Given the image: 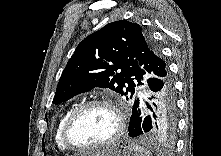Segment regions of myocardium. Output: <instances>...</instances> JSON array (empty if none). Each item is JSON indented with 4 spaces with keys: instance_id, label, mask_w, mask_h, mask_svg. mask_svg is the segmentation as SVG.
Masks as SVG:
<instances>
[{
    "instance_id": "myocardium-1",
    "label": "myocardium",
    "mask_w": 221,
    "mask_h": 156,
    "mask_svg": "<svg viewBox=\"0 0 221 156\" xmlns=\"http://www.w3.org/2000/svg\"><path fill=\"white\" fill-rule=\"evenodd\" d=\"M97 106L106 107L113 112L115 116V120H116V127H115L114 132L108 139H106L105 141L99 144L84 146V145H78L74 143L70 137V131L74 122L83 112H85L91 107H97ZM124 128H125L124 115L120 107L114 101L110 99H106V98L92 99V100L79 104L70 112V114L68 115V117L66 118L63 124L62 132H61V139H62L63 144L68 149H71V150H75V151L97 150V149L104 148L114 143L122 135Z\"/></svg>"
}]
</instances>
